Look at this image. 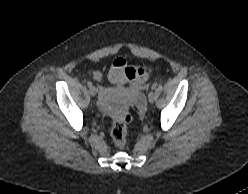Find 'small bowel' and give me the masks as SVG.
<instances>
[{
  "instance_id": "c3829d8e",
  "label": "small bowel",
  "mask_w": 248,
  "mask_h": 194,
  "mask_svg": "<svg viewBox=\"0 0 248 194\" xmlns=\"http://www.w3.org/2000/svg\"><path fill=\"white\" fill-rule=\"evenodd\" d=\"M90 75L95 81L102 82L104 80V75L100 71H92ZM106 78L110 83L116 85L129 83L136 90L147 82L149 75L144 68L127 66L123 58H117L108 70ZM101 91L103 95L108 92L105 87H102Z\"/></svg>"
}]
</instances>
